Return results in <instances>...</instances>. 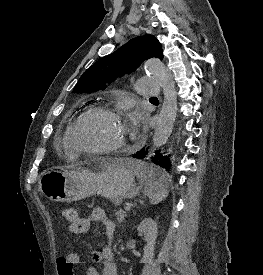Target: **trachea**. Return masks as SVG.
<instances>
[{
	"mask_svg": "<svg viewBox=\"0 0 263 275\" xmlns=\"http://www.w3.org/2000/svg\"><path fill=\"white\" fill-rule=\"evenodd\" d=\"M151 99H157V97H152Z\"/></svg>",
	"mask_w": 263,
	"mask_h": 275,
	"instance_id": "trachea-1",
	"label": "trachea"
}]
</instances>
